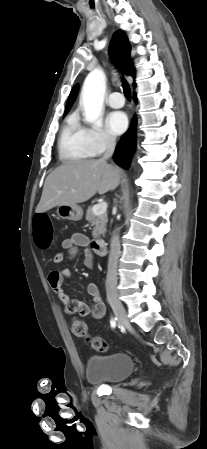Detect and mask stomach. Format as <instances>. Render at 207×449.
Segmentation results:
<instances>
[{
	"label": "stomach",
	"mask_w": 207,
	"mask_h": 449,
	"mask_svg": "<svg viewBox=\"0 0 207 449\" xmlns=\"http://www.w3.org/2000/svg\"><path fill=\"white\" fill-rule=\"evenodd\" d=\"M57 214L62 219H67L71 221H79L83 217V210L82 208L77 205H59L57 207Z\"/></svg>",
	"instance_id": "obj_1"
}]
</instances>
